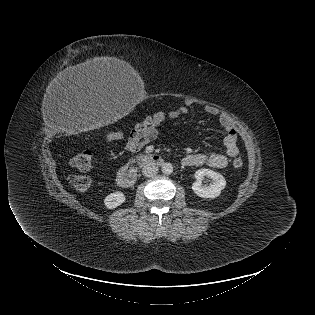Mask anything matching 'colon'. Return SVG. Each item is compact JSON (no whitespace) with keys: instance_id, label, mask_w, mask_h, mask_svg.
Listing matches in <instances>:
<instances>
[{"instance_id":"obj_1","label":"colon","mask_w":315,"mask_h":315,"mask_svg":"<svg viewBox=\"0 0 315 315\" xmlns=\"http://www.w3.org/2000/svg\"><path fill=\"white\" fill-rule=\"evenodd\" d=\"M123 138V134L119 131L112 132L108 135V140L116 141ZM93 159V154L89 150L81 151L75 154L70 163L71 165L78 169L79 171H87L91 167ZM243 165V160L241 158H236L233 161V166L235 168H240ZM70 184L79 192L86 193L91 187V179L89 176L84 174H74L69 177Z\"/></svg>"}]
</instances>
